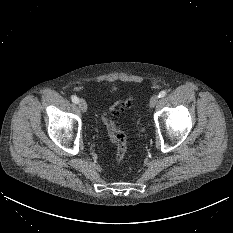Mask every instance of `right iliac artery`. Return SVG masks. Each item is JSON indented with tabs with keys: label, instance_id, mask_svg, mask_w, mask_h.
Returning <instances> with one entry per match:
<instances>
[{
	"label": "right iliac artery",
	"instance_id": "1",
	"mask_svg": "<svg viewBox=\"0 0 233 233\" xmlns=\"http://www.w3.org/2000/svg\"><path fill=\"white\" fill-rule=\"evenodd\" d=\"M71 99H72V102H74L75 104H77V103L79 102L78 97L75 96V95H73V96L71 97Z\"/></svg>",
	"mask_w": 233,
	"mask_h": 233
}]
</instances>
